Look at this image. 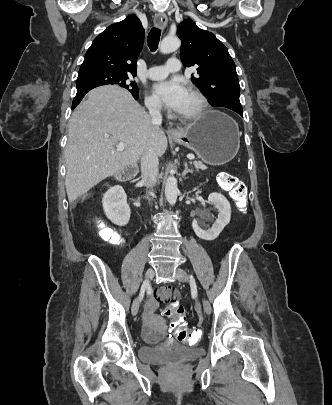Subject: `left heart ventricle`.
I'll return each mask as SVG.
<instances>
[{
    "label": "left heart ventricle",
    "instance_id": "left-heart-ventricle-1",
    "mask_svg": "<svg viewBox=\"0 0 332 405\" xmlns=\"http://www.w3.org/2000/svg\"><path fill=\"white\" fill-rule=\"evenodd\" d=\"M197 105L198 103L195 97L190 92L187 91L184 102L179 111H177V113L179 115L192 114L196 110Z\"/></svg>",
    "mask_w": 332,
    "mask_h": 405
}]
</instances>
